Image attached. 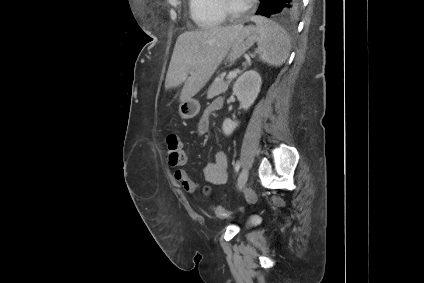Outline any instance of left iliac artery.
I'll use <instances>...</instances> for the list:
<instances>
[{
    "instance_id": "obj_1",
    "label": "left iliac artery",
    "mask_w": 424,
    "mask_h": 283,
    "mask_svg": "<svg viewBox=\"0 0 424 283\" xmlns=\"http://www.w3.org/2000/svg\"><path fill=\"white\" fill-rule=\"evenodd\" d=\"M239 169H240V162H239V160L236 162V164H235V171L236 172H238L239 171Z\"/></svg>"
}]
</instances>
